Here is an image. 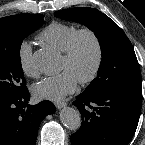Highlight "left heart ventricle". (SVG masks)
Returning a JSON list of instances; mask_svg holds the SVG:
<instances>
[{
    "mask_svg": "<svg viewBox=\"0 0 145 145\" xmlns=\"http://www.w3.org/2000/svg\"><path fill=\"white\" fill-rule=\"evenodd\" d=\"M94 61V45L89 37L83 36L79 41L77 52L73 60L67 62L61 58L60 70L70 71L79 81L90 73Z\"/></svg>",
    "mask_w": 145,
    "mask_h": 145,
    "instance_id": "left-heart-ventricle-1",
    "label": "left heart ventricle"
}]
</instances>
